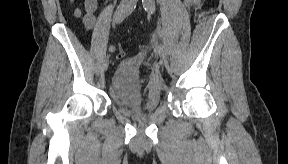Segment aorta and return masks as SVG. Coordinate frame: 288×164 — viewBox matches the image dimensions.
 I'll list each match as a JSON object with an SVG mask.
<instances>
[{"mask_svg": "<svg viewBox=\"0 0 288 164\" xmlns=\"http://www.w3.org/2000/svg\"><path fill=\"white\" fill-rule=\"evenodd\" d=\"M143 8H147V10H154L155 8L154 0H143Z\"/></svg>", "mask_w": 288, "mask_h": 164, "instance_id": "aorta-1", "label": "aorta"}]
</instances>
